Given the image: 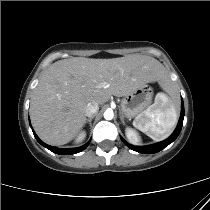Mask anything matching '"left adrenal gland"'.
Returning a JSON list of instances; mask_svg holds the SVG:
<instances>
[{
    "instance_id": "left-adrenal-gland-1",
    "label": "left adrenal gland",
    "mask_w": 210,
    "mask_h": 210,
    "mask_svg": "<svg viewBox=\"0 0 210 210\" xmlns=\"http://www.w3.org/2000/svg\"><path fill=\"white\" fill-rule=\"evenodd\" d=\"M120 120H121L122 124L125 125V121H124L123 115H120Z\"/></svg>"
}]
</instances>
